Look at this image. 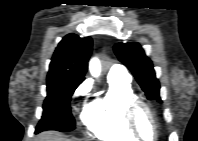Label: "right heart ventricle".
<instances>
[{
	"label": "right heart ventricle",
	"mask_w": 198,
	"mask_h": 141,
	"mask_svg": "<svg viewBox=\"0 0 198 141\" xmlns=\"http://www.w3.org/2000/svg\"><path fill=\"white\" fill-rule=\"evenodd\" d=\"M107 93L84 110L82 122L90 133L104 141H136L124 118V102L134 95L130 82L108 79Z\"/></svg>",
	"instance_id": "obj_1"
}]
</instances>
